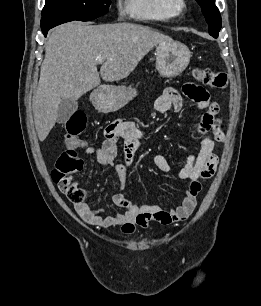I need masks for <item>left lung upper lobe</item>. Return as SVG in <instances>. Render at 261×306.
I'll list each match as a JSON object with an SVG mask.
<instances>
[{
    "mask_svg": "<svg viewBox=\"0 0 261 306\" xmlns=\"http://www.w3.org/2000/svg\"><path fill=\"white\" fill-rule=\"evenodd\" d=\"M202 8L203 15L209 24V34L217 38L221 29V16L215 5V0H196Z\"/></svg>",
    "mask_w": 261,
    "mask_h": 306,
    "instance_id": "5c2ea615",
    "label": "left lung upper lobe"
}]
</instances>
